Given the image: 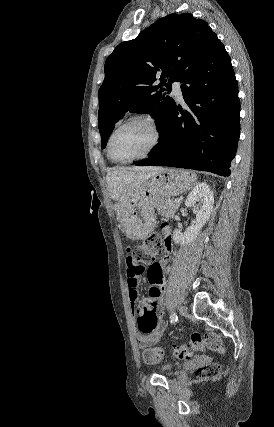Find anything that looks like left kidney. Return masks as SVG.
Here are the masks:
<instances>
[{"label": "left kidney", "instance_id": "1", "mask_svg": "<svg viewBox=\"0 0 274 427\" xmlns=\"http://www.w3.org/2000/svg\"><path fill=\"white\" fill-rule=\"evenodd\" d=\"M185 206H187V208H193L196 214V223L195 225L187 227L184 233H181L180 229H174L173 239L175 243H181V245L193 243L201 227L205 225L211 212H213L214 194L212 190H210V186H207L206 182L197 184L192 192H190L188 198H186Z\"/></svg>", "mask_w": 274, "mask_h": 427}]
</instances>
